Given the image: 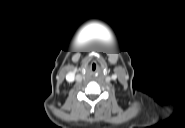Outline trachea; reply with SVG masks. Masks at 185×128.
<instances>
[{
  "label": "trachea",
  "instance_id": "trachea-1",
  "mask_svg": "<svg viewBox=\"0 0 185 128\" xmlns=\"http://www.w3.org/2000/svg\"><path fill=\"white\" fill-rule=\"evenodd\" d=\"M96 69V66H92V70L94 71Z\"/></svg>",
  "mask_w": 185,
  "mask_h": 128
}]
</instances>
